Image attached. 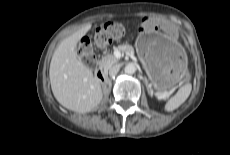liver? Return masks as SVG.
<instances>
[{
    "label": "liver",
    "instance_id": "obj_1",
    "mask_svg": "<svg viewBox=\"0 0 230 155\" xmlns=\"http://www.w3.org/2000/svg\"><path fill=\"white\" fill-rule=\"evenodd\" d=\"M91 26V23L85 24L58 45L49 69L56 100L63 107L79 113L90 112L103 97L100 80L82 63L76 51L78 42Z\"/></svg>",
    "mask_w": 230,
    "mask_h": 155
}]
</instances>
